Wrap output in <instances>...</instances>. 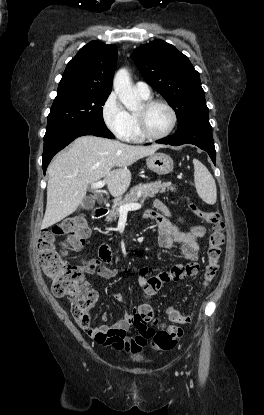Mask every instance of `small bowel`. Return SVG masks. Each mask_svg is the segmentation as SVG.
Masks as SVG:
<instances>
[{"mask_svg":"<svg viewBox=\"0 0 264 415\" xmlns=\"http://www.w3.org/2000/svg\"><path fill=\"white\" fill-rule=\"evenodd\" d=\"M170 215L171 210L160 200H155L153 208H148L143 213L145 220L152 221L156 224L159 230L160 246L163 249L179 253L186 261L195 266V271L192 274L194 275L197 272L196 262L200 250L199 239L204 236L205 228L203 226H194L189 232H182L167 219V216ZM82 268L86 273L97 274L103 279H114L119 274L117 267H107L97 260L85 262ZM137 274V282L143 292L148 293L155 289L151 287L152 278L150 277V270L147 266L139 267ZM113 297L117 302L125 305V300L120 294L114 293ZM136 312L137 309L135 308L132 313H126L113 325L101 324L97 327L85 329V332L98 345L113 346L119 349H125L131 354L140 355L145 346V338L140 340L138 338L130 339L126 337V332L130 328ZM107 318L108 314L104 313L102 319L106 320Z\"/></svg>","mask_w":264,"mask_h":415,"instance_id":"1","label":"small bowel"}]
</instances>
